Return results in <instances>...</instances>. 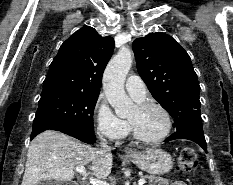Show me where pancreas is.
Segmentation results:
<instances>
[{
  "mask_svg": "<svg viewBox=\"0 0 233 185\" xmlns=\"http://www.w3.org/2000/svg\"><path fill=\"white\" fill-rule=\"evenodd\" d=\"M142 178L149 181L148 185H170V180L160 176L145 175Z\"/></svg>",
  "mask_w": 233,
  "mask_h": 185,
  "instance_id": "pancreas-1",
  "label": "pancreas"
}]
</instances>
